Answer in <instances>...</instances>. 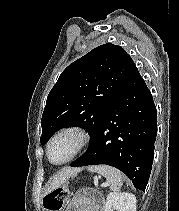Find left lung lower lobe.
<instances>
[{
  "mask_svg": "<svg viewBox=\"0 0 179 211\" xmlns=\"http://www.w3.org/2000/svg\"><path fill=\"white\" fill-rule=\"evenodd\" d=\"M157 112L151 92L133 62L105 110L87 151L71 166L118 168L135 188L145 190L152 169Z\"/></svg>",
  "mask_w": 179,
  "mask_h": 211,
  "instance_id": "1",
  "label": "left lung lower lobe"
}]
</instances>
